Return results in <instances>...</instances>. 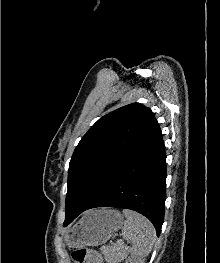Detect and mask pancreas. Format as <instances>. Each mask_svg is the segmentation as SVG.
Instances as JSON below:
<instances>
[{"instance_id": "pancreas-1", "label": "pancreas", "mask_w": 220, "mask_h": 263, "mask_svg": "<svg viewBox=\"0 0 220 263\" xmlns=\"http://www.w3.org/2000/svg\"><path fill=\"white\" fill-rule=\"evenodd\" d=\"M120 251H122L120 244H114L110 247L101 248V252L104 254L105 259L109 263H116V260H120L123 258V255Z\"/></svg>"}]
</instances>
